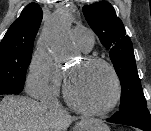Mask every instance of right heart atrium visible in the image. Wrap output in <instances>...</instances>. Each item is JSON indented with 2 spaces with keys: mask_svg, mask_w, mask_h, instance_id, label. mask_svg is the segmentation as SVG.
Instances as JSON below:
<instances>
[{
  "mask_svg": "<svg viewBox=\"0 0 151 131\" xmlns=\"http://www.w3.org/2000/svg\"><path fill=\"white\" fill-rule=\"evenodd\" d=\"M60 79L61 72L52 57L37 49L28 66L27 92L38 99L51 97L57 92Z\"/></svg>",
  "mask_w": 151,
  "mask_h": 131,
  "instance_id": "obj_1",
  "label": "right heart atrium"
}]
</instances>
